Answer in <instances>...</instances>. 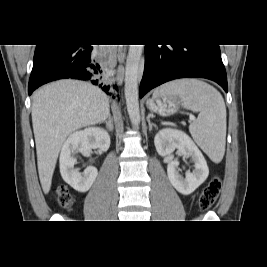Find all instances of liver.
Returning <instances> with one entry per match:
<instances>
[{"label": "liver", "instance_id": "liver-1", "mask_svg": "<svg viewBox=\"0 0 267 267\" xmlns=\"http://www.w3.org/2000/svg\"><path fill=\"white\" fill-rule=\"evenodd\" d=\"M109 115L106 94L90 83L61 80L33 95L32 124L40 183L45 194L51 189L59 152L76 130L104 122Z\"/></svg>", "mask_w": 267, "mask_h": 267}]
</instances>
